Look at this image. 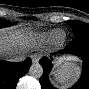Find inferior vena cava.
Returning <instances> with one entry per match:
<instances>
[{"label": "inferior vena cava", "instance_id": "obj_1", "mask_svg": "<svg viewBox=\"0 0 89 89\" xmlns=\"http://www.w3.org/2000/svg\"><path fill=\"white\" fill-rule=\"evenodd\" d=\"M23 57H24V54H21V55H13V56L10 57V59L13 60V61H19Z\"/></svg>", "mask_w": 89, "mask_h": 89}]
</instances>
